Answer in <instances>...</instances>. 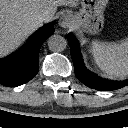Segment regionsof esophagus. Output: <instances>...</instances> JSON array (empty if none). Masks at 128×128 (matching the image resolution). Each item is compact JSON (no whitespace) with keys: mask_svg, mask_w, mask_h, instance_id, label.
I'll list each match as a JSON object with an SVG mask.
<instances>
[{"mask_svg":"<svg viewBox=\"0 0 128 128\" xmlns=\"http://www.w3.org/2000/svg\"><path fill=\"white\" fill-rule=\"evenodd\" d=\"M58 25L62 28H71L73 26V18L70 14L64 13L58 19Z\"/></svg>","mask_w":128,"mask_h":128,"instance_id":"esophagus-1","label":"esophagus"}]
</instances>
